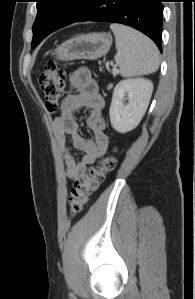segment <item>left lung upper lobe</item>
I'll list each match as a JSON object with an SVG mask.
<instances>
[{
    "mask_svg": "<svg viewBox=\"0 0 195 299\" xmlns=\"http://www.w3.org/2000/svg\"><path fill=\"white\" fill-rule=\"evenodd\" d=\"M37 17L33 24L31 46L36 47L50 33L76 22L90 0H36Z\"/></svg>",
    "mask_w": 195,
    "mask_h": 299,
    "instance_id": "obj_1",
    "label": "left lung upper lobe"
}]
</instances>
